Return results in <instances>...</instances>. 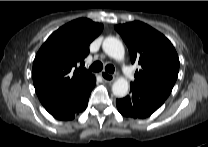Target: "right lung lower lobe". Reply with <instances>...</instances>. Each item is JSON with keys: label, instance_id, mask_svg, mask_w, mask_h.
Returning a JSON list of instances; mask_svg holds the SVG:
<instances>
[{"label": "right lung lower lobe", "instance_id": "right-lung-lower-lobe-1", "mask_svg": "<svg viewBox=\"0 0 208 147\" xmlns=\"http://www.w3.org/2000/svg\"><path fill=\"white\" fill-rule=\"evenodd\" d=\"M96 83L95 77L83 86L78 92L71 97L44 106L45 109L55 118L60 120H72L87 107L88 100L92 89Z\"/></svg>", "mask_w": 208, "mask_h": 147}]
</instances>
